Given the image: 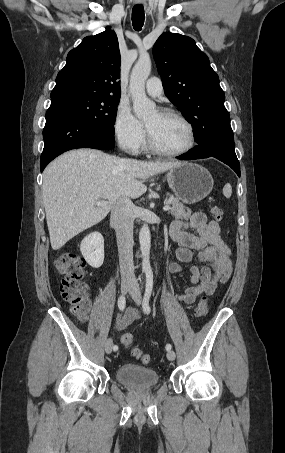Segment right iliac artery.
<instances>
[{"instance_id":"82829eb1","label":"right iliac artery","mask_w":285,"mask_h":453,"mask_svg":"<svg viewBox=\"0 0 285 453\" xmlns=\"http://www.w3.org/2000/svg\"><path fill=\"white\" fill-rule=\"evenodd\" d=\"M125 305H126V298L124 295H122L118 299V307L121 311H123L125 309ZM117 349H118V346L114 345L113 350H117Z\"/></svg>"}]
</instances>
